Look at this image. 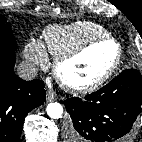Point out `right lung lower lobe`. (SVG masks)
I'll return each instance as SVG.
<instances>
[{"label": "right lung lower lobe", "mask_w": 142, "mask_h": 142, "mask_svg": "<svg viewBox=\"0 0 142 142\" xmlns=\"http://www.w3.org/2000/svg\"><path fill=\"white\" fill-rule=\"evenodd\" d=\"M14 64L15 56L0 54V142H19L25 116L46 97L44 83L20 79Z\"/></svg>", "instance_id": "1"}]
</instances>
